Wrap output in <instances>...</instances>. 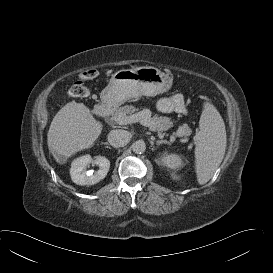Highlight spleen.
I'll list each match as a JSON object with an SVG mask.
<instances>
[{
	"mask_svg": "<svg viewBox=\"0 0 273 273\" xmlns=\"http://www.w3.org/2000/svg\"><path fill=\"white\" fill-rule=\"evenodd\" d=\"M199 134L195 146V169L199 184L207 183L221 164L226 149L224 121L211 102L203 103L199 121ZM161 164L170 169L183 166L182 158L176 154L164 155Z\"/></svg>",
	"mask_w": 273,
	"mask_h": 273,
	"instance_id": "1",
	"label": "spleen"
}]
</instances>
